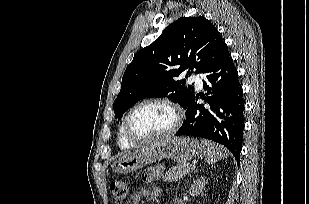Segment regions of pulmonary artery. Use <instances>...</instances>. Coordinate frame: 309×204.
Here are the masks:
<instances>
[{"label": "pulmonary artery", "instance_id": "obj_1", "mask_svg": "<svg viewBox=\"0 0 309 204\" xmlns=\"http://www.w3.org/2000/svg\"><path fill=\"white\" fill-rule=\"evenodd\" d=\"M190 81L191 82H194L196 87L197 88H202L203 87V81H202V78L199 74H193L191 77H190Z\"/></svg>", "mask_w": 309, "mask_h": 204}]
</instances>
